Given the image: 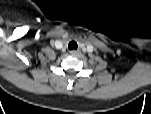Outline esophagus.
<instances>
[{
  "label": "esophagus",
  "instance_id": "obj_1",
  "mask_svg": "<svg viewBox=\"0 0 151 114\" xmlns=\"http://www.w3.org/2000/svg\"><path fill=\"white\" fill-rule=\"evenodd\" d=\"M70 54H71V55H74V56H78V55L81 54V52H80L79 50H71V51H70Z\"/></svg>",
  "mask_w": 151,
  "mask_h": 114
}]
</instances>
